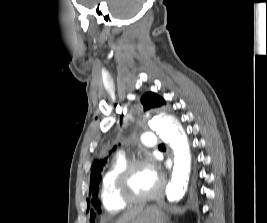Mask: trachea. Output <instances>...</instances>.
<instances>
[{
  "label": "trachea",
  "mask_w": 267,
  "mask_h": 223,
  "mask_svg": "<svg viewBox=\"0 0 267 223\" xmlns=\"http://www.w3.org/2000/svg\"><path fill=\"white\" fill-rule=\"evenodd\" d=\"M159 147H164V144H160Z\"/></svg>",
  "instance_id": "trachea-1"
}]
</instances>
